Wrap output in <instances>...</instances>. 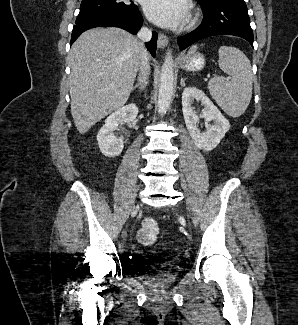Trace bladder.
<instances>
[{"label":"bladder","mask_w":298,"mask_h":325,"mask_svg":"<svg viewBox=\"0 0 298 325\" xmlns=\"http://www.w3.org/2000/svg\"><path fill=\"white\" fill-rule=\"evenodd\" d=\"M178 278V273L169 271L156 276L144 278V282L155 291H163L169 288Z\"/></svg>","instance_id":"bladder-1"}]
</instances>
